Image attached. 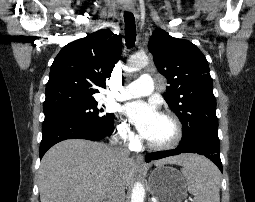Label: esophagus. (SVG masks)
<instances>
[{
  "instance_id": "obj_1",
  "label": "esophagus",
  "mask_w": 255,
  "mask_h": 202,
  "mask_svg": "<svg viewBox=\"0 0 255 202\" xmlns=\"http://www.w3.org/2000/svg\"><path fill=\"white\" fill-rule=\"evenodd\" d=\"M129 12L131 11V9H127ZM135 164L138 168H145V163H144V159L143 156L140 154H137L135 156Z\"/></svg>"
}]
</instances>
